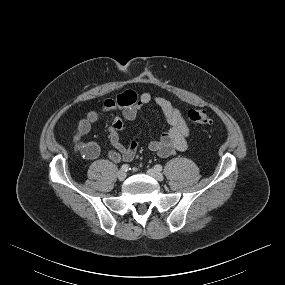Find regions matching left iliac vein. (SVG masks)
<instances>
[{"label":"left iliac vein","mask_w":285,"mask_h":285,"mask_svg":"<svg viewBox=\"0 0 285 285\" xmlns=\"http://www.w3.org/2000/svg\"><path fill=\"white\" fill-rule=\"evenodd\" d=\"M148 175H150L151 177H153L154 179L158 180V181H163L164 176L162 173H160L159 171H157L156 169H148L147 171Z\"/></svg>","instance_id":"1"}]
</instances>
